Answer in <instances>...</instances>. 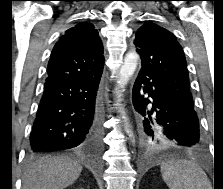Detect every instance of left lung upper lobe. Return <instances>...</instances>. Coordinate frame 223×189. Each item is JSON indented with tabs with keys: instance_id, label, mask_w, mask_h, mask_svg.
Masks as SVG:
<instances>
[{
	"instance_id": "left-lung-upper-lobe-1",
	"label": "left lung upper lobe",
	"mask_w": 223,
	"mask_h": 189,
	"mask_svg": "<svg viewBox=\"0 0 223 189\" xmlns=\"http://www.w3.org/2000/svg\"><path fill=\"white\" fill-rule=\"evenodd\" d=\"M134 44L142 67L156 74L178 101L193 108L185 55L176 37L154 23H146L138 29ZM141 139L147 148L171 146L170 140L156 128L150 135L141 132Z\"/></svg>"
}]
</instances>
